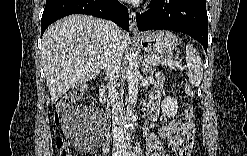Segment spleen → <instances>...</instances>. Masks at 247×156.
<instances>
[{
    "instance_id": "obj_1",
    "label": "spleen",
    "mask_w": 247,
    "mask_h": 156,
    "mask_svg": "<svg viewBox=\"0 0 247 156\" xmlns=\"http://www.w3.org/2000/svg\"><path fill=\"white\" fill-rule=\"evenodd\" d=\"M186 63L188 67L189 82L193 86H199L203 78V65L197 50L190 44L186 45Z\"/></svg>"
}]
</instances>
